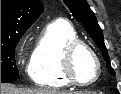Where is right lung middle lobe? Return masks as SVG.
I'll return each instance as SVG.
<instances>
[{"label":"right lung middle lobe","instance_id":"obj_1","mask_svg":"<svg viewBox=\"0 0 121 94\" xmlns=\"http://www.w3.org/2000/svg\"><path fill=\"white\" fill-rule=\"evenodd\" d=\"M27 31L22 29L1 34V82L9 83L19 78L15 62V47L20 38Z\"/></svg>","mask_w":121,"mask_h":94}]
</instances>
